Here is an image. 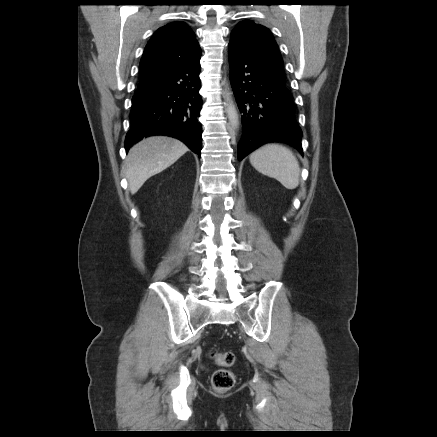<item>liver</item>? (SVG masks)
Returning <instances> with one entry per match:
<instances>
[{
  "mask_svg": "<svg viewBox=\"0 0 437 437\" xmlns=\"http://www.w3.org/2000/svg\"><path fill=\"white\" fill-rule=\"evenodd\" d=\"M188 151L181 141L167 136H152L135 144L125 160V176L135 194L152 176L174 164Z\"/></svg>",
  "mask_w": 437,
  "mask_h": 437,
  "instance_id": "1",
  "label": "liver"
}]
</instances>
